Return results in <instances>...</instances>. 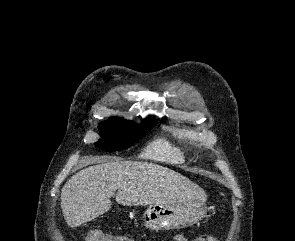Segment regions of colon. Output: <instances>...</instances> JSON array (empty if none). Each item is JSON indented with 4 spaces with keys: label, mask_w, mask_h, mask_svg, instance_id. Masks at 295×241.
Returning <instances> with one entry per match:
<instances>
[{
    "label": "colon",
    "mask_w": 295,
    "mask_h": 241,
    "mask_svg": "<svg viewBox=\"0 0 295 241\" xmlns=\"http://www.w3.org/2000/svg\"><path fill=\"white\" fill-rule=\"evenodd\" d=\"M86 241H131L122 236H113L100 230H91L87 234ZM176 241H187L183 237H177ZM194 241H218L214 237L202 238Z\"/></svg>",
    "instance_id": "1"
}]
</instances>
